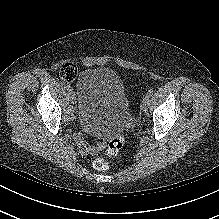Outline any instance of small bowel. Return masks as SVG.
I'll return each instance as SVG.
<instances>
[{
  "label": "small bowel",
  "instance_id": "obj_1",
  "mask_svg": "<svg viewBox=\"0 0 219 219\" xmlns=\"http://www.w3.org/2000/svg\"><path fill=\"white\" fill-rule=\"evenodd\" d=\"M79 147L84 154L96 155L100 150L103 149L104 144L102 142H98L93 145H87L84 141L80 140Z\"/></svg>",
  "mask_w": 219,
  "mask_h": 219
}]
</instances>
